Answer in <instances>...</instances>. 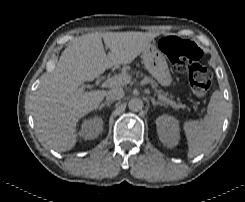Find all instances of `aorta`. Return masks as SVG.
<instances>
[{"mask_svg":"<svg viewBox=\"0 0 245 202\" xmlns=\"http://www.w3.org/2000/svg\"><path fill=\"white\" fill-rule=\"evenodd\" d=\"M128 107L131 111L138 112L143 108V101L139 98H132L128 103Z\"/></svg>","mask_w":245,"mask_h":202,"instance_id":"762f6f07","label":"aorta"}]
</instances>
